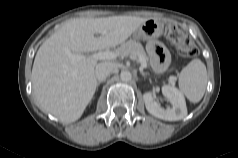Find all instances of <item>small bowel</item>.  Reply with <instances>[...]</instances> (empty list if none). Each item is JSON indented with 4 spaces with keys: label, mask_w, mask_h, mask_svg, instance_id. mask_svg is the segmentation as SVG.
I'll use <instances>...</instances> for the list:
<instances>
[{
    "label": "small bowel",
    "mask_w": 238,
    "mask_h": 158,
    "mask_svg": "<svg viewBox=\"0 0 238 158\" xmlns=\"http://www.w3.org/2000/svg\"><path fill=\"white\" fill-rule=\"evenodd\" d=\"M146 49L156 70H164L168 66L170 57L161 43L151 41L147 44Z\"/></svg>",
    "instance_id": "small-bowel-1"
}]
</instances>
